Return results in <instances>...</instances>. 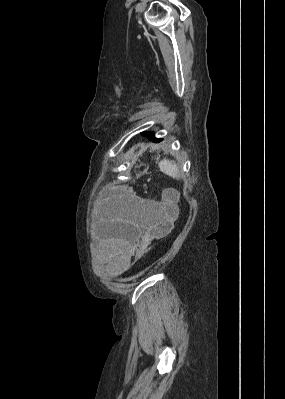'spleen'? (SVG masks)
<instances>
[{
    "instance_id": "1",
    "label": "spleen",
    "mask_w": 285,
    "mask_h": 399,
    "mask_svg": "<svg viewBox=\"0 0 285 399\" xmlns=\"http://www.w3.org/2000/svg\"><path fill=\"white\" fill-rule=\"evenodd\" d=\"M158 165L160 170L170 177H178L180 174L178 166L169 159L161 160Z\"/></svg>"
}]
</instances>
